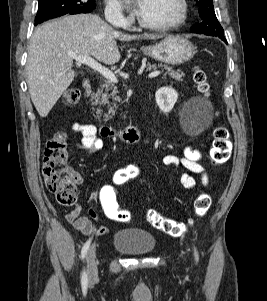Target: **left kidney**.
Segmentation results:
<instances>
[{
	"instance_id": "obj_1",
	"label": "left kidney",
	"mask_w": 267,
	"mask_h": 301,
	"mask_svg": "<svg viewBox=\"0 0 267 301\" xmlns=\"http://www.w3.org/2000/svg\"><path fill=\"white\" fill-rule=\"evenodd\" d=\"M155 98L159 108L167 113L173 109L178 93L171 87H163L156 91Z\"/></svg>"
}]
</instances>
